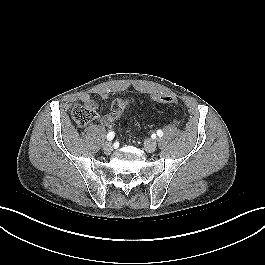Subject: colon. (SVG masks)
<instances>
[{"mask_svg": "<svg viewBox=\"0 0 265 265\" xmlns=\"http://www.w3.org/2000/svg\"><path fill=\"white\" fill-rule=\"evenodd\" d=\"M160 101L162 103L170 105H177L176 98L168 95L162 96L160 98ZM130 103L131 101L127 99L115 100L111 105L110 115H109L110 118L113 120L119 119ZM72 117L79 126H85L94 120L95 108L88 104H77L74 106L72 110Z\"/></svg>", "mask_w": 265, "mask_h": 265, "instance_id": "5ec220e1", "label": "colon"}]
</instances>
